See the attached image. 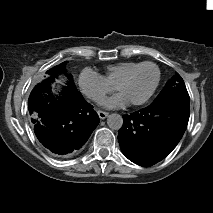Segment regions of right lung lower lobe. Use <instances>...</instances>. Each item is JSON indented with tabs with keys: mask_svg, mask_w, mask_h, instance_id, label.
Wrapping results in <instances>:
<instances>
[{
	"mask_svg": "<svg viewBox=\"0 0 213 213\" xmlns=\"http://www.w3.org/2000/svg\"><path fill=\"white\" fill-rule=\"evenodd\" d=\"M46 79L32 90L28 109L39 141L51 152L68 156L88 140L99 117L75 86L68 84L59 94L51 92Z\"/></svg>",
	"mask_w": 213,
	"mask_h": 213,
	"instance_id": "right-lung-lower-lobe-1",
	"label": "right lung lower lobe"
}]
</instances>
